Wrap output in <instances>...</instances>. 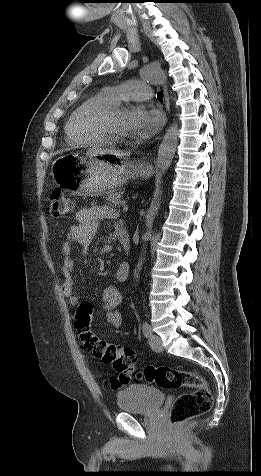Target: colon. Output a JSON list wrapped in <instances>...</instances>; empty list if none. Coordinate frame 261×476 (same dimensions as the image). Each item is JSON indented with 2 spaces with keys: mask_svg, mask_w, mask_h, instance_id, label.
Returning a JSON list of instances; mask_svg holds the SVG:
<instances>
[{
  "mask_svg": "<svg viewBox=\"0 0 261 476\" xmlns=\"http://www.w3.org/2000/svg\"><path fill=\"white\" fill-rule=\"evenodd\" d=\"M48 202L50 214L54 218H63L73 210L72 202L60 188L50 192ZM91 321L92 307L89 303H82L76 311L74 322L79 338L93 356L112 365L119 373L117 378L110 381V386L120 389L130 383L137 356L132 349L109 343L99 337L91 329ZM141 376L163 389L192 388L191 391L179 395L171 406L170 419L174 425L199 416L212 406V393L204 377L197 372L167 366H148Z\"/></svg>",
  "mask_w": 261,
  "mask_h": 476,
  "instance_id": "colon-1",
  "label": "colon"
}]
</instances>
